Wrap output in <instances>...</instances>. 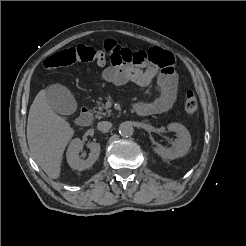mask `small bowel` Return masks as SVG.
<instances>
[{"instance_id": "obj_1", "label": "small bowel", "mask_w": 246, "mask_h": 246, "mask_svg": "<svg viewBox=\"0 0 246 246\" xmlns=\"http://www.w3.org/2000/svg\"><path fill=\"white\" fill-rule=\"evenodd\" d=\"M104 47L110 55V65L102 73L105 81L115 85L133 82L144 87L157 78L158 96L152 101L134 104V110L139 115L161 114L173 107L177 98L178 77L172 53L158 47L133 52L112 39L107 40Z\"/></svg>"}]
</instances>
